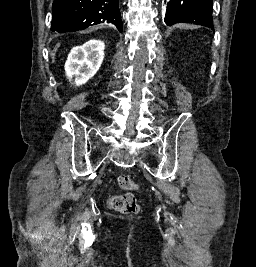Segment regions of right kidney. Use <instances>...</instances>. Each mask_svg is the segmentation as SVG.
<instances>
[{"label": "right kidney", "mask_w": 256, "mask_h": 267, "mask_svg": "<svg viewBox=\"0 0 256 267\" xmlns=\"http://www.w3.org/2000/svg\"><path fill=\"white\" fill-rule=\"evenodd\" d=\"M104 42L89 40L83 46L72 48L65 62V72L68 80L74 78L75 86L86 84L95 76L104 60Z\"/></svg>", "instance_id": "ca27d5eb"}]
</instances>
